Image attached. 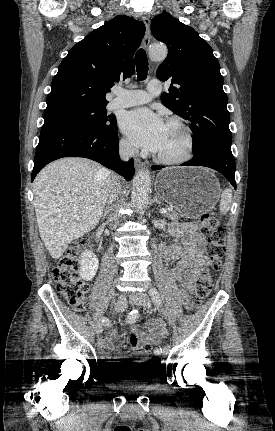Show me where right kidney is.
Wrapping results in <instances>:
<instances>
[{
    "mask_svg": "<svg viewBox=\"0 0 275 431\" xmlns=\"http://www.w3.org/2000/svg\"><path fill=\"white\" fill-rule=\"evenodd\" d=\"M79 266L80 278L91 281L98 270L99 261L93 252L85 250L80 257Z\"/></svg>",
    "mask_w": 275,
    "mask_h": 431,
    "instance_id": "right-kidney-1",
    "label": "right kidney"
}]
</instances>
